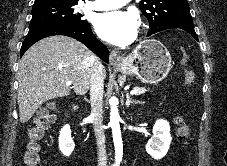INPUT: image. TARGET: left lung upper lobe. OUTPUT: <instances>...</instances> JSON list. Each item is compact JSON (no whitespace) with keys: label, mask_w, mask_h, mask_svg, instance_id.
<instances>
[{"label":"left lung upper lobe","mask_w":227,"mask_h":166,"mask_svg":"<svg viewBox=\"0 0 227 166\" xmlns=\"http://www.w3.org/2000/svg\"><path fill=\"white\" fill-rule=\"evenodd\" d=\"M139 4L149 21L147 36L166 29L193 25L187 0H141Z\"/></svg>","instance_id":"1"}]
</instances>
